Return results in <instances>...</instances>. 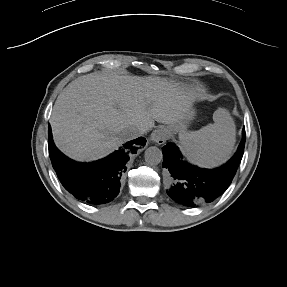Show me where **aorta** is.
<instances>
[{
	"instance_id": "762f6f07",
	"label": "aorta",
	"mask_w": 287,
	"mask_h": 287,
	"mask_svg": "<svg viewBox=\"0 0 287 287\" xmlns=\"http://www.w3.org/2000/svg\"><path fill=\"white\" fill-rule=\"evenodd\" d=\"M144 159L146 163L149 165H158L163 159V154H162L161 149H159L156 146L148 147L145 150Z\"/></svg>"
}]
</instances>
